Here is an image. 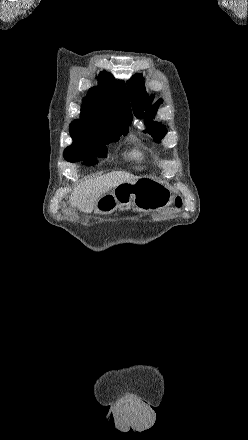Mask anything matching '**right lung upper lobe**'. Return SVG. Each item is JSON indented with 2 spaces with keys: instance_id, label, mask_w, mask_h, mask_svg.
Instances as JSON below:
<instances>
[{
  "instance_id": "1",
  "label": "right lung upper lobe",
  "mask_w": 248,
  "mask_h": 440,
  "mask_svg": "<svg viewBox=\"0 0 248 440\" xmlns=\"http://www.w3.org/2000/svg\"><path fill=\"white\" fill-rule=\"evenodd\" d=\"M132 112L123 81H116L105 71L98 75V86L92 87L81 108V119L70 124L73 144H81L90 135H109L128 130Z\"/></svg>"
}]
</instances>
